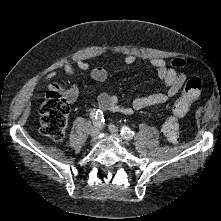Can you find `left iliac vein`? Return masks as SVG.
Returning a JSON list of instances; mask_svg holds the SVG:
<instances>
[{"instance_id":"4c4485c4","label":"left iliac vein","mask_w":221,"mask_h":221,"mask_svg":"<svg viewBox=\"0 0 221 221\" xmlns=\"http://www.w3.org/2000/svg\"><path fill=\"white\" fill-rule=\"evenodd\" d=\"M108 129L114 136L118 137L120 141L122 142V136L119 134V130L116 126L109 124Z\"/></svg>"}]
</instances>
